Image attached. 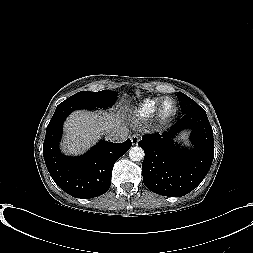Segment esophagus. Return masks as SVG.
Segmentation results:
<instances>
[{"instance_id": "1", "label": "esophagus", "mask_w": 253, "mask_h": 253, "mask_svg": "<svg viewBox=\"0 0 253 253\" xmlns=\"http://www.w3.org/2000/svg\"><path fill=\"white\" fill-rule=\"evenodd\" d=\"M130 140L132 142L133 145H137L139 142V136L136 134H133L130 136Z\"/></svg>"}]
</instances>
